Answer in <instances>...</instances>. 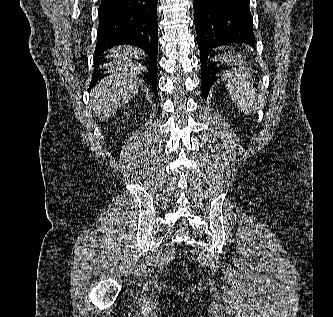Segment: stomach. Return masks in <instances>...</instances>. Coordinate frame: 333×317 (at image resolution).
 Returning <instances> with one entry per match:
<instances>
[{
    "label": "stomach",
    "instance_id": "0dacf381",
    "mask_svg": "<svg viewBox=\"0 0 333 317\" xmlns=\"http://www.w3.org/2000/svg\"><path fill=\"white\" fill-rule=\"evenodd\" d=\"M220 52H237V45H220ZM214 62H247V55H214ZM248 82V81H225Z\"/></svg>",
    "mask_w": 333,
    "mask_h": 317
}]
</instances>
